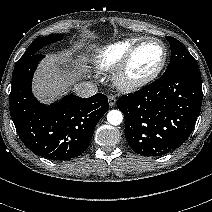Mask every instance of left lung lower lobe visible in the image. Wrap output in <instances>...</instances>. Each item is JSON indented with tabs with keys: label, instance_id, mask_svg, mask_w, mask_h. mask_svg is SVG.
I'll list each match as a JSON object with an SVG mask.
<instances>
[{
	"label": "left lung lower lobe",
	"instance_id": "1",
	"mask_svg": "<svg viewBox=\"0 0 212 212\" xmlns=\"http://www.w3.org/2000/svg\"><path fill=\"white\" fill-rule=\"evenodd\" d=\"M202 94L200 70L192 66L122 96L117 107L124 114L130 147L144 156H160L180 147L196 123Z\"/></svg>",
	"mask_w": 212,
	"mask_h": 212
}]
</instances>
